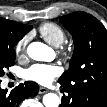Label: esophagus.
<instances>
[{
	"mask_svg": "<svg viewBox=\"0 0 107 107\" xmlns=\"http://www.w3.org/2000/svg\"><path fill=\"white\" fill-rule=\"evenodd\" d=\"M46 92H48V89H46L45 87H40L39 88V94H44Z\"/></svg>",
	"mask_w": 107,
	"mask_h": 107,
	"instance_id": "obj_1",
	"label": "esophagus"
}]
</instances>
